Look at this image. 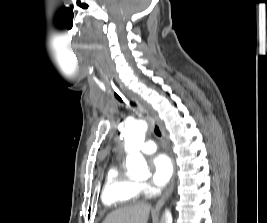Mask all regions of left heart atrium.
I'll use <instances>...</instances> for the list:
<instances>
[{
  "label": "left heart atrium",
  "mask_w": 267,
  "mask_h": 223,
  "mask_svg": "<svg viewBox=\"0 0 267 223\" xmlns=\"http://www.w3.org/2000/svg\"><path fill=\"white\" fill-rule=\"evenodd\" d=\"M174 172L173 161L169 155L160 153L151 160V181L157 186H164Z\"/></svg>",
  "instance_id": "left-heart-atrium-1"
}]
</instances>
